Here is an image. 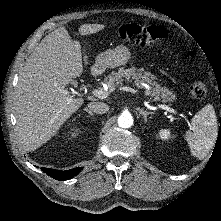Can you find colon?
<instances>
[{
  "label": "colon",
  "mask_w": 221,
  "mask_h": 221,
  "mask_svg": "<svg viewBox=\"0 0 221 221\" xmlns=\"http://www.w3.org/2000/svg\"><path fill=\"white\" fill-rule=\"evenodd\" d=\"M169 31L160 25H138L125 24L118 28L116 35L122 41L132 45L148 46L152 45L168 36ZM188 57H193V52L188 53ZM190 94L202 99L207 94V87L201 80H194L189 84Z\"/></svg>",
  "instance_id": "colon-1"
}]
</instances>
